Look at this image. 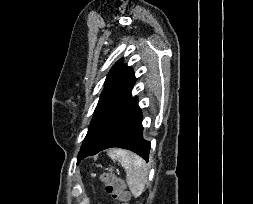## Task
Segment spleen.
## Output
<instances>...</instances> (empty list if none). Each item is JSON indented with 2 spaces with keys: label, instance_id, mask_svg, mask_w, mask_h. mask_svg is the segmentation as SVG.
I'll list each match as a JSON object with an SVG mask.
<instances>
[{
  "label": "spleen",
  "instance_id": "spleen-1",
  "mask_svg": "<svg viewBox=\"0 0 253 204\" xmlns=\"http://www.w3.org/2000/svg\"><path fill=\"white\" fill-rule=\"evenodd\" d=\"M108 155L125 169L129 189L135 198L139 197L148 179L146 162L140 156L122 149H113Z\"/></svg>",
  "mask_w": 253,
  "mask_h": 204
}]
</instances>
